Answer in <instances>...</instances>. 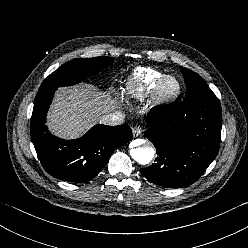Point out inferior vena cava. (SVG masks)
Segmentation results:
<instances>
[{"mask_svg":"<svg viewBox=\"0 0 248 248\" xmlns=\"http://www.w3.org/2000/svg\"><path fill=\"white\" fill-rule=\"evenodd\" d=\"M124 118L125 116L121 112H114L105 115L102 118V122L106 125L116 126L122 124L124 122Z\"/></svg>","mask_w":248,"mask_h":248,"instance_id":"inferior-vena-cava-1","label":"inferior vena cava"}]
</instances>
